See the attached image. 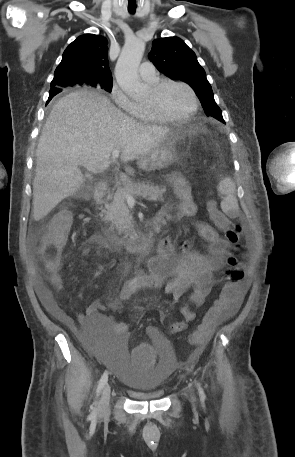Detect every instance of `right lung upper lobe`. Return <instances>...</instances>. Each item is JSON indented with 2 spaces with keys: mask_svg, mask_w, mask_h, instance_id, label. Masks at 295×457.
I'll use <instances>...</instances> for the list:
<instances>
[{
  "mask_svg": "<svg viewBox=\"0 0 295 457\" xmlns=\"http://www.w3.org/2000/svg\"><path fill=\"white\" fill-rule=\"evenodd\" d=\"M107 45V39L100 35L84 34L77 37L63 53L51 89H61L68 84L100 85L112 81Z\"/></svg>",
  "mask_w": 295,
  "mask_h": 457,
  "instance_id": "cb5924a9",
  "label": "right lung upper lobe"
}]
</instances>
